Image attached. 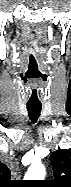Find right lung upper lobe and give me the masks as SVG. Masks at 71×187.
Here are the masks:
<instances>
[{
    "mask_svg": "<svg viewBox=\"0 0 71 187\" xmlns=\"http://www.w3.org/2000/svg\"><path fill=\"white\" fill-rule=\"evenodd\" d=\"M1 174L3 176V179L7 180L8 178H10V170L8 169L7 166L2 165L1 167Z\"/></svg>",
    "mask_w": 71,
    "mask_h": 187,
    "instance_id": "right-lung-upper-lobe-1",
    "label": "right lung upper lobe"
}]
</instances>
